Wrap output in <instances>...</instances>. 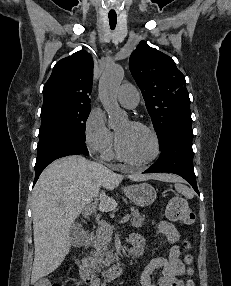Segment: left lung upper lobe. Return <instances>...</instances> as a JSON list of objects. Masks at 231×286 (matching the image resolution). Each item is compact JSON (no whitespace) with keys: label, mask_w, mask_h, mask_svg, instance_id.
<instances>
[{"label":"left lung upper lobe","mask_w":231,"mask_h":286,"mask_svg":"<svg viewBox=\"0 0 231 286\" xmlns=\"http://www.w3.org/2000/svg\"><path fill=\"white\" fill-rule=\"evenodd\" d=\"M157 136L175 124H191L190 99L184 75L164 53L141 41L129 59Z\"/></svg>","instance_id":"5c2ea615"}]
</instances>
